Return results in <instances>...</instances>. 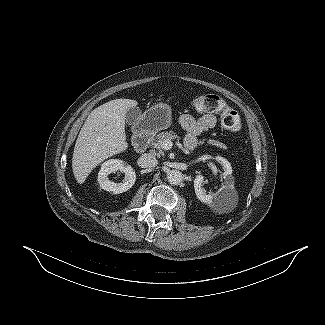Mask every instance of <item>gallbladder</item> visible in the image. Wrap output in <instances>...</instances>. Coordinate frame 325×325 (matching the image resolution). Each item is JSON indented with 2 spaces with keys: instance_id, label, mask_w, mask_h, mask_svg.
I'll use <instances>...</instances> for the list:
<instances>
[{
  "instance_id": "1",
  "label": "gallbladder",
  "mask_w": 325,
  "mask_h": 325,
  "mask_svg": "<svg viewBox=\"0 0 325 325\" xmlns=\"http://www.w3.org/2000/svg\"><path fill=\"white\" fill-rule=\"evenodd\" d=\"M141 115L139 107H131L127 110L125 115L126 123L129 125L135 124Z\"/></svg>"
}]
</instances>
